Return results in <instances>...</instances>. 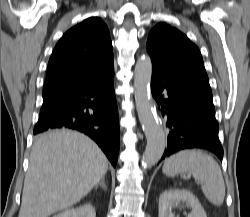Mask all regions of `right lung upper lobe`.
Here are the masks:
<instances>
[{"label": "right lung upper lobe", "instance_id": "1", "mask_svg": "<svg viewBox=\"0 0 250 217\" xmlns=\"http://www.w3.org/2000/svg\"><path fill=\"white\" fill-rule=\"evenodd\" d=\"M113 67L108 28L100 18L90 17L68 30L56 44L43 98L91 82Z\"/></svg>", "mask_w": 250, "mask_h": 217}]
</instances>
